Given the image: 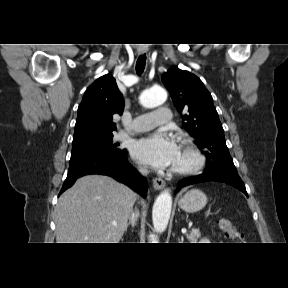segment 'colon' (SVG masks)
Masks as SVG:
<instances>
[{
    "mask_svg": "<svg viewBox=\"0 0 288 288\" xmlns=\"http://www.w3.org/2000/svg\"><path fill=\"white\" fill-rule=\"evenodd\" d=\"M218 227L223 231L227 238L231 240H240L243 234L231 223L230 220L222 218L217 221Z\"/></svg>",
    "mask_w": 288,
    "mask_h": 288,
    "instance_id": "obj_1",
    "label": "colon"
}]
</instances>
